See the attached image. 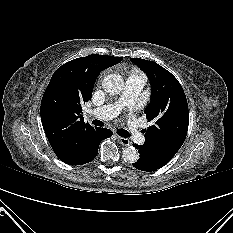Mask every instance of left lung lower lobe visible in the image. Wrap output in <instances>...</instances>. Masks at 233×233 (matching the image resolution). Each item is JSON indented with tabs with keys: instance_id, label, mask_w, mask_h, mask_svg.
<instances>
[{
	"instance_id": "left-lung-lower-lobe-1",
	"label": "left lung lower lobe",
	"mask_w": 233,
	"mask_h": 233,
	"mask_svg": "<svg viewBox=\"0 0 233 233\" xmlns=\"http://www.w3.org/2000/svg\"><path fill=\"white\" fill-rule=\"evenodd\" d=\"M133 146L138 149V152L140 153V158L137 160V162L132 163L136 169L147 172L155 171L170 161L159 156L157 153L149 150L143 145L134 144Z\"/></svg>"
}]
</instances>
